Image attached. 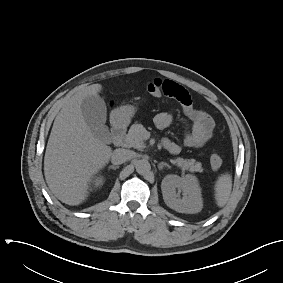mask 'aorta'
I'll return each instance as SVG.
<instances>
[{
  "label": "aorta",
  "mask_w": 283,
  "mask_h": 283,
  "mask_svg": "<svg viewBox=\"0 0 283 283\" xmlns=\"http://www.w3.org/2000/svg\"><path fill=\"white\" fill-rule=\"evenodd\" d=\"M135 168H136L137 173L145 174V173H148L150 171L151 166H150V163L147 160L142 159V160H138L136 162Z\"/></svg>",
  "instance_id": "762f6f07"
}]
</instances>
